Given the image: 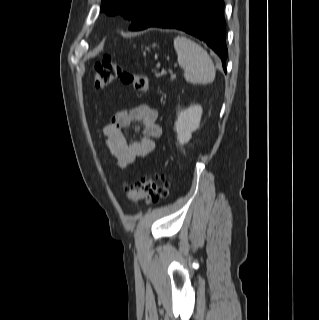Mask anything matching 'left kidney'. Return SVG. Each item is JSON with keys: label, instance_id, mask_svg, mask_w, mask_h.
I'll use <instances>...</instances> for the list:
<instances>
[{"label": "left kidney", "instance_id": "5707ae66", "mask_svg": "<svg viewBox=\"0 0 319 320\" xmlns=\"http://www.w3.org/2000/svg\"><path fill=\"white\" fill-rule=\"evenodd\" d=\"M203 109L200 105H192L178 114L175 123L177 139L180 144L188 143L192 132L199 128Z\"/></svg>", "mask_w": 319, "mask_h": 320}]
</instances>
